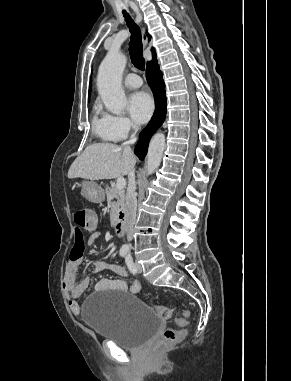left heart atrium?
Listing matches in <instances>:
<instances>
[{"label": "left heart atrium", "instance_id": "left-heart-atrium-1", "mask_svg": "<svg viewBox=\"0 0 291 381\" xmlns=\"http://www.w3.org/2000/svg\"><path fill=\"white\" fill-rule=\"evenodd\" d=\"M153 109V100L147 93L139 91L130 96L129 111L137 123H146L151 117Z\"/></svg>", "mask_w": 291, "mask_h": 381}]
</instances>
